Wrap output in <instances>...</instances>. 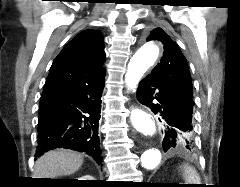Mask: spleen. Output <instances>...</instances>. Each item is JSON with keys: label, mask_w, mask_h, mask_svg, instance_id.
Returning <instances> with one entry per match:
<instances>
[{"label": "spleen", "mask_w": 240, "mask_h": 187, "mask_svg": "<svg viewBox=\"0 0 240 187\" xmlns=\"http://www.w3.org/2000/svg\"><path fill=\"white\" fill-rule=\"evenodd\" d=\"M182 169L184 171L183 176L185 180L189 182V184H199L201 182L200 176L198 175L195 168L189 166L188 164H185Z\"/></svg>", "instance_id": "1"}]
</instances>
